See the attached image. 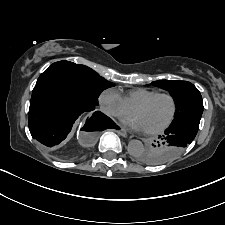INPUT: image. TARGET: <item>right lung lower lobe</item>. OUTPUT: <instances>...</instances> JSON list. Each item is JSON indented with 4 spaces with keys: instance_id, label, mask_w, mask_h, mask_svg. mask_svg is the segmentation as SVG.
I'll return each instance as SVG.
<instances>
[{
    "instance_id": "1",
    "label": "right lung lower lobe",
    "mask_w": 225,
    "mask_h": 225,
    "mask_svg": "<svg viewBox=\"0 0 225 225\" xmlns=\"http://www.w3.org/2000/svg\"><path fill=\"white\" fill-rule=\"evenodd\" d=\"M97 105L69 80L52 74H41L32 91L29 107V130L34 139L50 150L58 148L82 113H91ZM88 130L113 128L114 122L95 111ZM85 125V127L87 126Z\"/></svg>"
}]
</instances>
